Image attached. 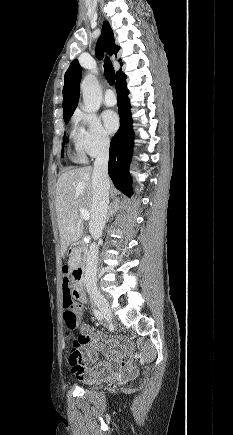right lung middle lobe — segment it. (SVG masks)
<instances>
[{"mask_svg": "<svg viewBox=\"0 0 233 435\" xmlns=\"http://www.w3.org/2000/svg\"><path fill=\"white\" fill-rule=\"evenodd\" d=\"M70 117H71V116L64 117L65 124L68 123ZM63 144H64V142H63ZM63 152H64V147H62V157H63Z\"/></svg>", "mask_w": 233, "mask_h": 435, "instance_id": "dd1d6c3e", "label": "right lung middle lobe"}]
</instances>
